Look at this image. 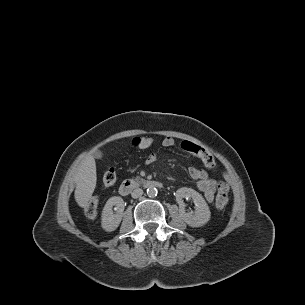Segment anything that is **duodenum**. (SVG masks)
<instances>
[{
	"label": "duodenum",
	"mask_w": 305,
	"mask_h": 305,
	"mask_svg": "<svg viewBox=\"0 0 305 305\" xmlns=\"http://www.w3.org/2000/svg\"><path fill=\"white\" fill-rule=\"evenodd\" d=\"M145 186L150 188H161L163 187V183L160 181L150 180L145 182ZM134 188H135V183L133 181L127 180L122 182L121 185L119 186V193L122 196H127L132 192Z\"/></svg>",
	"instance_id": "obj_1"
}]
</instances>
